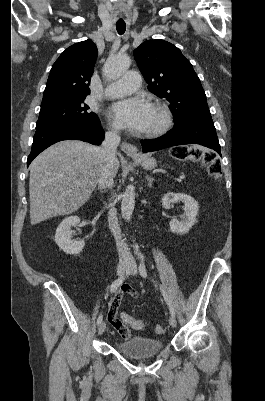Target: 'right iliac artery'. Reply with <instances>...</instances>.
<instances>
[{
    "instance_id": "right-iliac-artery-1",
    "label": "right iliac artery",
    "mask_w": 265,
    "mask_h": 401,
    "mask_svg": "<svg viewBox=\"0 0 265 401\" xmlns=\"http://www.w3.org/2000/svg\"><path fill=\"white\" fill-rule=\"evenodd\" d=\"M130 275V272H127L125 276H122L118 279H116L110 286V291L111 292H115L120 285L123 283V281L126 279V277H128ZM103 316L102 314L99 315L98 319H97V324L99 325L102 322Z\"/></svg>"
}]
</instances>
